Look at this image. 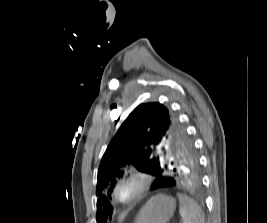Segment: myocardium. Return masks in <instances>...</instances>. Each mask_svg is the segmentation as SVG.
<instances>
[{
    "label": "myocardium",
    "instance_id": "obj_1",
    "mask_svg": "<svg viewBox=\"0 0 267 223\" xmlns=\"http://www.w3.org/2000/svg\"><path fill=\"white\" fill-rule=\"evenodd\" d=\"M150 182L149 174L133 169L115 182L112 189V196L121 204L134 203L149 189ZM126 186H131L133 191L127 196H122L121 191Z\"/></svg>",
    "mask_w": 267,
    "mask_h": 223
}]
</instances>
